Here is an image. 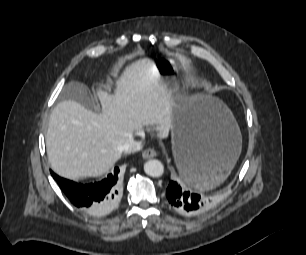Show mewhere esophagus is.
Returning a JSON list of instances; mask_svg holds the SVG:
<instances>
[{
  "label": "esophagus",
  "instance_id": "34e87169",
  "mask_svg": "<svg viewBox=\"0 0 306 255\" xmlns=\"http://www.w3.org/2000/svg\"><path fill=\"white\" fill-rule=\"evenodd\" d=\"M156 156H157V152L152 148L146 149L142 153V157L144 159H151V158H154Z\"/></svg>",
  "mask_w": 306,
  "mask_h": 255
}]
</instances>
